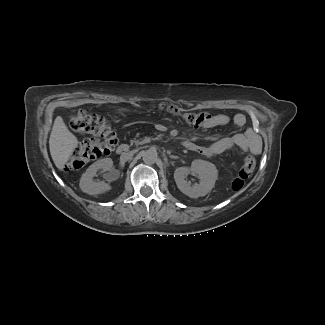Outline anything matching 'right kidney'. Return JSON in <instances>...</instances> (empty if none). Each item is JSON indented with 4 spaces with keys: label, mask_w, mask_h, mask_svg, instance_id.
<instances>
[{
    "label": "right kidney",
    "mask_w": 325,
    "mask_h": 325,
    "mask_svg": "<svg viewBox=\"0 0 325 325\" xmlns=\"http://www.w3.org/2000/svg\"><path fill=\"white\" fill-rule=\"evenodd\" d=\"M113 166V161L111 158H104L96 161L83 173L79 186L84 193L89 195H97L107 192L111 189V186L104 181H94V176H96L97 171L104 170L108 171Z\"/></svg>",
    "instance_id": "right-kidney-1"
}]
</instances>
